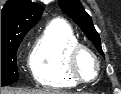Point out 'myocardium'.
Instances as JSON below:
<instances>
[{"mask_svg": "<svg viewBox=\"0 0 121 94\" xmlns=\"http://www.w3.org/2000/svg\"><path fill=\"white\" fill-rule=\"evenodd\" d=\"M83 53H86L89 56H91L95 62L96 73H95V76L92 78L83 77L79 71L78 60L81 54ZM67 69H68L70 76L73 78V80L76 83H90V82L95 81L97 77L99 76L101 72V63L93 50H91L89 47H87L86 45L82 43H78L75 46H73L68 53Z\"/></svg>", "mask_w": 121, "mask_h": 94, "instance_id": "1", "label": "myocardium"}]
</instances>
